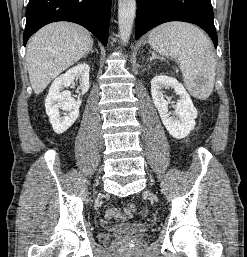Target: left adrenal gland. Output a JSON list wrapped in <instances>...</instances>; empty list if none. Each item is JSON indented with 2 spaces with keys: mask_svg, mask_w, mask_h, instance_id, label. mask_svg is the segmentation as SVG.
Instances as JSON below:
<instances>
[{
  "mask_svg": "<svg viewBox=\"0 0 247 257\" xmlns=\"http://www.w3.org/2000/svg\"><path fill=\"white\" fill-rule=\"evenodd\" d=\"M154 59H161V60H164L163 58L157 56V55L155 54V52H152V57L150 58V61H153Z\"/></svg>",
  "mask_w": 247,
  "mask_h": 257,
  "instance_id": "a2214340",
  "label": "left adrenal gland"
}]
</instances>
